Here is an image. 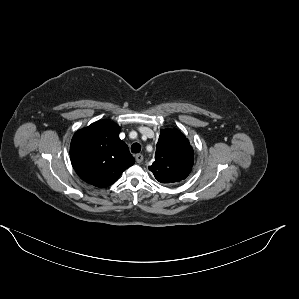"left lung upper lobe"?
<instances>
[{
    "label": "left lung upper lobe",
    "instance_id": "left-lung-upper-lobe-1",
    "mask_svg": "<svg viewBox=\"0 0 299 299\" xmlns=\"http://www.w3.org/2000/svg\"><path fill=\"white\" fill-rule=\"evenodd\" d=\"M193 149L183 133L177 129H161L155 161L149 170L161 183L184 180L194 162Z\"/></svg>",
    "mask_w": 299,
    "mask_h": 299
}]
</instances>
